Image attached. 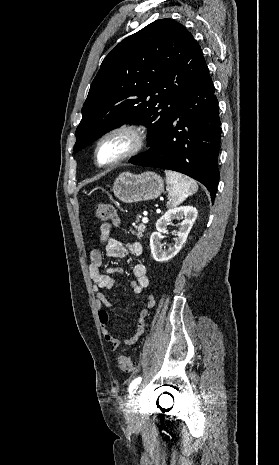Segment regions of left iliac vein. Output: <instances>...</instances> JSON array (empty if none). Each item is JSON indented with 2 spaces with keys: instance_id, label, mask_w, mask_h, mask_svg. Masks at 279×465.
I'll return each mask as SVG.
<instances>
[{
  "instance_id": "4c4485c4",
  "label": "left iliac vein",
  "mask_w": 279,
  "mask_h": 465,
  "mask_svg": "<svg viewBox=\"0 0 279 465\" xmlns=\"http://www.w3.org/2000/svg\"><path fill=\"white\" fill-rule=\"evenodd\" d=\"M125 418L127 423L131 426H134L138 422L137 397L133 394L127 403Z\"/></svg>"
}]
</instances>
